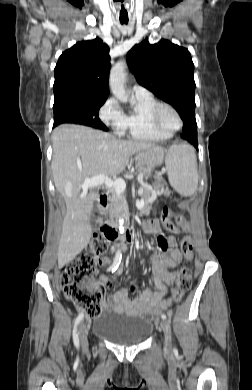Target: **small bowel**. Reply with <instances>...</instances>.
<instances>
[{"label":"small bowel","instance_id":"c3829d8e","mask_svg":"<svg viewBox=\"0 0 252 390\" xmlns=\"http://www.w3.org/2000/svg\"><path fill=\"white\" fill-rule=\"evenodd\" d=\"M180 226L184 230H187V224L184 218ZM145 229L147 233L156 236L158 246V250L151 256L155 290L144 288L139 296L130 297L128 290L121 288L113 292L106 301L103 300V308L106 311L140 317L144 316V312L147 311H154L156 309L165 311L169 309L175 289L173 288L171 290L169 297H166V295L168 293V287L178 278L176 267L181 261V253L176 248L175 238L165 236L156 221L146 222ZM192 257L193 255L186 259L191 260ZM97 264L100 266H109L110 260L106 257L98 258ZM115 271L117 274H120L122 268L119 267ZM97 285L109 289L113 288V282L105 276L100 277ZM131 291H134V289Z\"/></svg>","mask_w":252,"mask_h":390}]
</instances>
